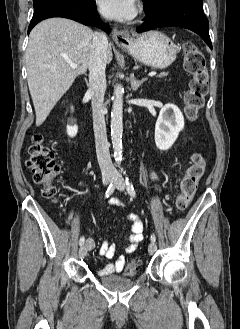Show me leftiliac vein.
I'll use <instances>...</instances> for the list:
<instances>
[{"label": "left iliac vein", "mask_w": 240, "mask_h": 329, "mask_svg": "<svg viewBox=\"0 0 240 329\" xmlns=\"http://www.w3.org/2000/svg\"><path fill=\"white\" fill-rule=\"evenodd\" d=\"M114 182H115V186L116 188L119 190V191H123L124 188H125V183H124V179L123 177L118 173L116 172L114 174ZM157 250V246L155 244V242H151L148 246V252L149 254H154Z\"/></svg>", "instance_id": "obj_1"}]
</instances>
